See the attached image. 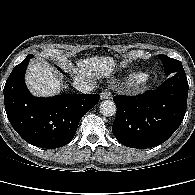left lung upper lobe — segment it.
<instances>
[{"mask_svg": "<svg viewBox=\"0 0 195 195\" xmlns=\"http://www.w3.org/2000/svg\"><path fill=\"white\" fill-rule=\"evenodd\" d=\"M164 66V72L166 75H172L174 73H185L183 66L179 60L170 58L166 55H158Z\"/></svg>", "mask_w": 195, "mask_h": 195, "instance_id": "obj_1", "label": "left lung upper lobe"}]
</instances>
